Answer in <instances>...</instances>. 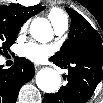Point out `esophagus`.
<instances>
[{"instance_id":"obj_1","label":"esophagus","mask_w":103,"mask_h":103,"mask_svg":"<svg viewBox=\"0 0 103 103\" xmlns=\"http://www.w3.org/2000/svg\"><path fill=\"white\" fill-rule=\"evenodd\" d=\"M34 68H35V70L37 71V70L41 69L42 66H41V65H38V64H35V65H34Z\"/></svg>"}]
</instances>
